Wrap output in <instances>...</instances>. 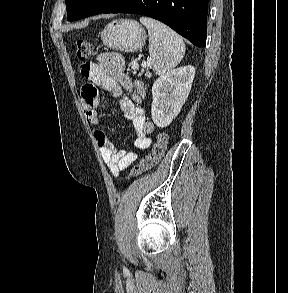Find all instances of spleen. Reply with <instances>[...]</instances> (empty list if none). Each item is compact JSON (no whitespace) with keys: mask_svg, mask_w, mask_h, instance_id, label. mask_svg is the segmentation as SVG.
Returning <instances> with one entry per match:
<instances>
[{"mask_svg":"<svg viewBox=\"0 0 288 293\" xmlns=\"http://www.w3.org/2000/svg\"><path fill=\"white\" fill-rule=\"evenodd\" d=\"M149 35V53L153 60V71L163 75L176 67L185 54L183 39L167 25L149 18L141 17Z\"/></svg>","mask_w":288,"mask_h":293,"instance_id":"3e777b00","label":"spleen"}]
</instances>
